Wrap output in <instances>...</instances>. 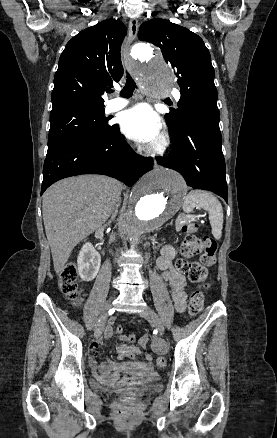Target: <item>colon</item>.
I'll use <instances>...</instances> for the list:
<instances>
[{"mask_svg": "<svg viewBox=\"0 0 277 438\" xmlns=\"http://www.w3.org/2000/svg\"><path fill=\"white\" fill-rule=\"evenodd\" d=\"M199 230V224L196 221L184 220L182 224V232L185 234L182 242V253L186 257H200V263L179 259L176 262L177 269L184 274L191 282L204 283L208 278L207 269L212 267L215 262V254L217 250V241L212 235L194 236L193 234ZM77 277V269L75 266H66L61 274V293L70 300H78L80 291L75 280ZM205 303V297L201 292H193L189 297L188 311L191 315H197L202 310ZM119 334H123L121 328L116 329ZM127 341H132L130 336H126ZM158 367H163L166 364L164 357H158L156 360ZM130 402L128 406L133 408L135 396H128Z\"/></svg>", "mask_w": 277, "mask_h": 438, "instance_id": "colon-1", "label": "colon"}]
</instances>
